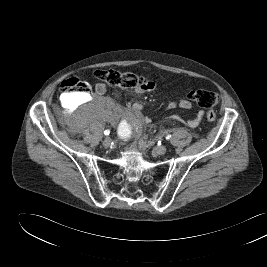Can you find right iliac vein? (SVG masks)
Returning <instances> with one entry per match:
<instances>
[{
  "mask_svg": "<svg viewBox=\"0 0 267 267\" xmlns=\"http://www.w3.org/2000/svg\"><path fill=\"white\" fill-rule=\"evenodd\" d=\"M110 144H111V139H110L109 137H106V138L104 139V141H103V146H104L105 148H108V147L110 146Z\"/></svg>",
  "mask_w": 267,
  "mask_h": 267,
  "instance_id": "63e3f726",
  "label": "right iliac vein"
}]
</instances>
